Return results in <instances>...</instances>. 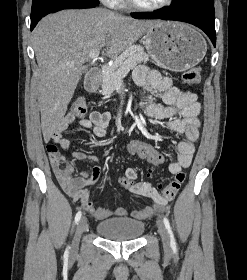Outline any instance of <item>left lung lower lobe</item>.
Masks as SVG:
<instances>
[{
    "label": "left lung lower lobe",
    "mask_w": 247,
    "mask_h": 280,
    "mask_svg": "<svg viewBox=\"0 0 247 280\" xmlns=\"http://www.w3.org/2000/svg\"><path fill=\"white\" fill-rule=\"evenodd\" d=\"M132 16L138 19H163L187 22L203 30L213 45L215 46L216 44L214 5H196L177 9L168 7L157 14H132Z\"/></svg>",
    "instance_id": "obj_1"
}]
</instances>
